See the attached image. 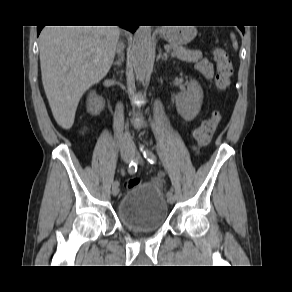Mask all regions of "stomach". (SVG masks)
Returning a JSON list of instances; mask_svg holds the SVG:
<instances>
[{
	"instance_id": "obj_1",
	"label": "stomach",
	"mask_w": 292,
	"mask_h": 292,
	"mask_svg": "<svg viewBox=\"0 0 292 292\" xmlns=\"http://www.w3.org/2000/svg\"><path fill=\"white\" fill-rule=\"evenodd\" d=\"M163 37L172 45H183L191 41L195 35L196 31L189 27H169L164 29Z\"/></svg>"
}]
</instances>
